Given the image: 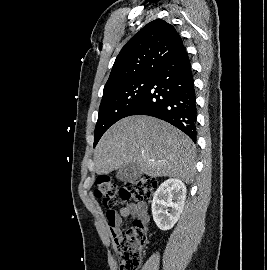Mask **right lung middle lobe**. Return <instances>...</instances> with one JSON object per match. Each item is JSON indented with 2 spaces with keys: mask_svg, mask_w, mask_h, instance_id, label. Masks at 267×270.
Instances as JSON below:
<instances>
[{
  "mask_svg": "<svg viewBox=\"0 0 267 270\" xmlns=\"http://www.w3.org/2000/svg\"><path fill=\"white\" fill-rule=\"evenodd\" d=\"M152 79L153 76L139 77L103 91L95 127L94 146L110 126L124 118L142 99Z\"/></svg>",
  "mask_w": 267,
  "mask_h": 270,
  "instance_id": "right-lung-middle-lobe-1",
  "label": "right lung middle lobe"
}]
</instances>
